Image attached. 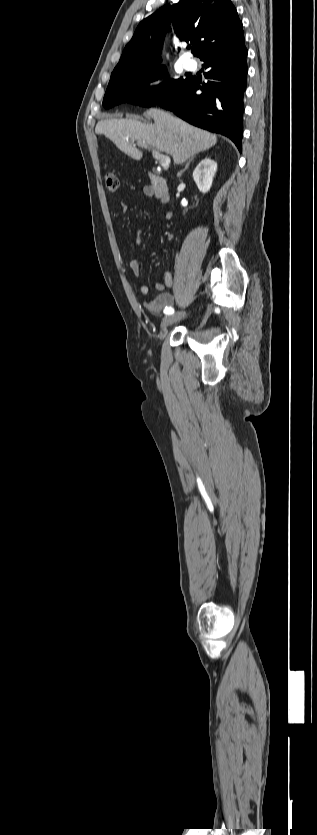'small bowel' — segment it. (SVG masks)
Here are the masks:
<instances>
[{"instance_id":"small-bowel-1","label":"small bowel","mask_w":317,"mask_h":835,"mask_svg":"<svg viewBox=\"0 0 317 835\" xmlns=\"http://www.w3.org/2000/svg\"><path fill=\"white\" fill-rule=\"evenodd\" d=\"M144 193L148 194L149 189L145 188ZM120 208L122 212H126L128 210V205L125 202L120 204ZM170 213H167V216H170ZM142 243V230L138 229L135 238V244L140 246ZM130 270L135 277H138L140 274V263L138 260L134 259L129 264ZM173 287V276L171 271L167 270L164 274V278L162 281H158L155 283V289L160 292L159 295L152 299V300H144L143 307L152 314H159L164 311L166 308L172 307L174 304V298L171 293L165 291L166 288ZM140 295H147L149 293V288L146 285H141L139 287Z\"/></svg>"}]
</instances>
